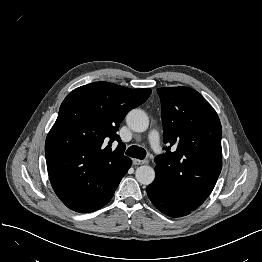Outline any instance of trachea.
I'll return each mask as SVG.
<instances>
[{"instance_id": "obj_1", "label": "trachea", "mask_w": 262, "mask_h": 262, "mask_svg": "<svg viewBox=\"0 0 262 262\" xmlns=\"http://www.w3.org/2000/svg\"><path fill=\"white\" fill-rule=\"evenodd\" d=\"M126 155L143 160L146 157V151L138 146H130L126 151Z\"/></svg>"}]
</instances>
